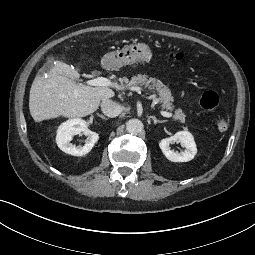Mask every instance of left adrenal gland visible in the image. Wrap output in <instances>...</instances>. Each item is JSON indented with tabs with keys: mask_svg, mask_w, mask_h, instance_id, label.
<instances>
[{
	"mask_svg": "<svg viewBox=\"0 0 255 255\" xmlns=\"http://www.w3.org/2000/svg\"><path fill=\"white\" fill-rule=\"evenodd\" d=\"M150 118L153 119L154 124L156 125L157 123H165L167 120H158L155 116H150Z\"/></svg>",
	"mask_w": 255,
	"mask_h": 255,
	"instance_id": "1",
	"label": "left adrenal gland"
}]
</instances>
